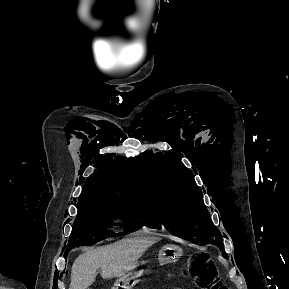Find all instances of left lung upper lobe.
<instances>
[{"label":"left lung upper lobe","instance_id":"obj_1","mask_svg":"<svg viewBox=\"0 0 289 289\" xmlns=\"http://www.w3.org/2000/svg\"><path fill=\"white\" fill-rule=\"evenodd\" d=\"M141 193L137 203L147 225L162 223L177 236L197 245L215 244L224 252L221 233L209 217L193 173L175 155L147 151L138 157Z\"/></svg>","mask_w":289,"mask_h":289}]
</instances>
